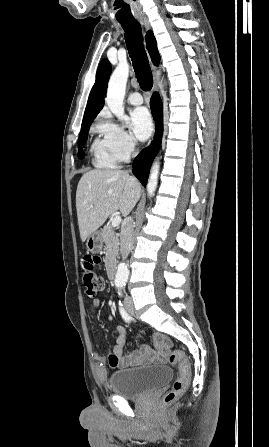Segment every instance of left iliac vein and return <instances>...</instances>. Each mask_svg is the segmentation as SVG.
<instances>
[{"label":"left iliac vein","instance_id":"left-iliac-vein-1","mask_svg":"<svg viewBox=\"0 0 269 447\" xmlns=\"http://www.w3.org/2000/svg\"><path fill=\"white\" fill-rule=\"evenodd\" d=\"M124 303H125V308H126V310H127L130 314H133V313H134V306H133V303H132L131 298H130V297H126Z\"/></svg>","mask_w":269,"mask_h":447}]
</instances>
